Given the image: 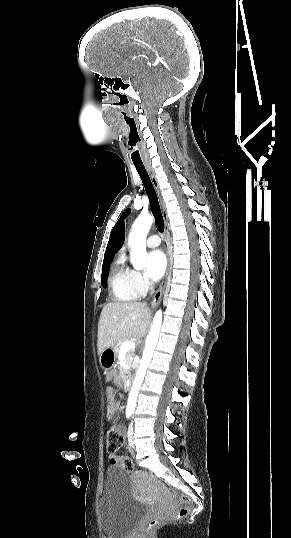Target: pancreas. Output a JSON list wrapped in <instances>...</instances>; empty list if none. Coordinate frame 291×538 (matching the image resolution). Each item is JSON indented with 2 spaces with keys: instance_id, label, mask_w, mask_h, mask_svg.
<instances>
[{
  "instance_id": "obj_1",
  "label": "pancreas",
  "mask_w": 291,
  "mask_h": 538,
  "mask_svg": "<svg viewBox=\"0 0 291 538\" xmlns=\"http://www.w3.org/2000/svg\"><path fill=\"white\" fill-rule=\"evenodd\" d=\"M125 341H127V339H123V340L119 341V342L114 346V351H115L117 357L121 355V345H122ZM132 355H133V354H132V353H129V352H128L127 355H126V362H127L128 365H131V363H132V361H131Z\"/></svg>"
}]
</instances>
